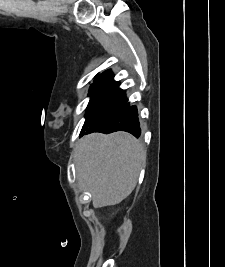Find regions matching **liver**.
Segmentation results:
<instances>
[{"instance_id":"obj_1","label":"liver","mask_w":225,"mask_h":267,"mask_svg":"<svg viewBox=\"0 0 225 267\" xmlns=\"http://www.w3.org/2000/svg\"><path fill=\"white\" fill-rule=\"evenodd\" d=\"M145 160L140 141L126 132L87 135L74 154L80 188L90 193L94 208L116 205L128 197Z\"/></svg>"}]
</instances>
